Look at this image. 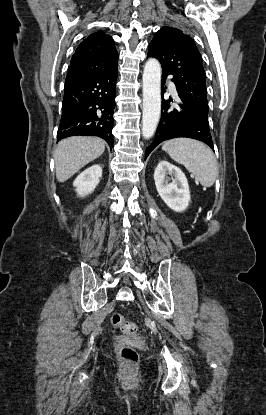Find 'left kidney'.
<instances>
[{"mask_svg":"<svg viewBox=\"0 0 266 415\" xmlns=\"http://www.w3.org/2000/svg\"><path fill=\"white\" fill-rule=\"evenodd\" d=\"M171 176V179L168 177ZM156 189L165 204L175 212L184 211L190 202V191L185 174L168 161H160L154 172ZM170 180H172L170 182Z\"/></svg>","mask_w":266,"mask_h":415,"instance_id":"obj_1","label":"left kidney"}]
</instances>
